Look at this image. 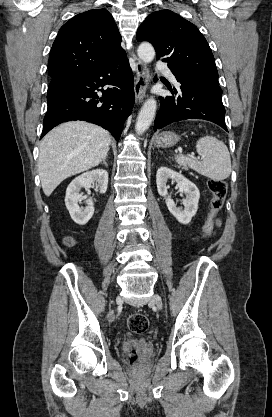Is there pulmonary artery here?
I'll return each instance as SVG.
<instances>
[{"label":"pulmonary artery","mask_w":272,"mask_h":417,"mask_svg":"<svg viewBox=\"0 0 272 417\" xmlns=\"http://www.w3.org/2000/svg\"><path fill=\"white\" fill-rule=\"evenodd\" d=\"M157 67L164 70L167 74V76L172 80V81H176L175 76L173 75V73L166 67L165 64L159 62L157 63Z\"/></svg>","instance_id":"pulmonary-artery-1"}]
</instances>
